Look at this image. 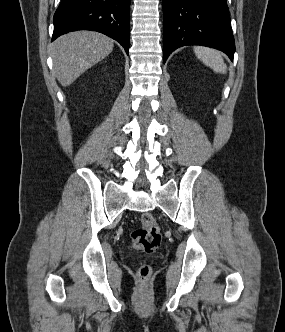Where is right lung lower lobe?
Instances as JSON below:
<instances>
[{
	"label": "right lung lower lobe",
	"instance_id": "98d812e1",
	"mask_svg": "<svg viewBox=\"0 0 285 332\" xmlns=\"http://www.w3.org/2000/svg\"><path fill=\"white\" fill-rule=\"evenodd\" d=\"M130 0H62L54 14L52 41L76 30L101 32L129 52Z\"/></svg>",
	"mask_w": 285,
	"mask_h": 332
}]
</instances>
